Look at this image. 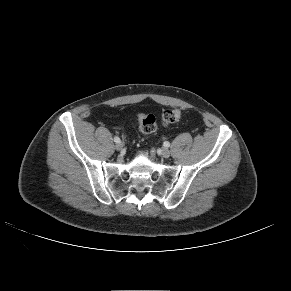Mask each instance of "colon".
<instances>
[{
    "label": "colon",
    "instance_id": "1",
    "mask_svg": "<svg viewBox=\"0 0 291 291\" xmlns=\"http://www.w3.org/2000/svg\"><path fill=\"white\" fill-rule=\"evenodd\" d=\"M179 109H165L160 117L162 125L168 126L177 122L181 118ZM139 129L143 134H150L156 129V119L153 115L138 114Z\"/></svg>",
    "mask_w": 291,
    "mask_h": 291
}]
</instances>
